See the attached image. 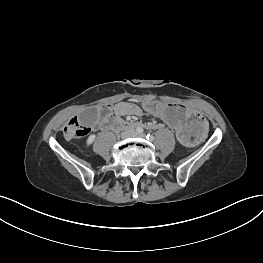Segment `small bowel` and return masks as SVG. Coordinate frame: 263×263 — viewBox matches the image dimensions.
I'll return each mask as SVG.
<instances>
[{
  "label": "small bowel",
  "instance_id": "1",
  "mask_svg": "<svg viewBox=\"0 0 263 263\" xmlns=\"http://www.w3.org/2000/svg\"><path fill=\"white\" fill-rule=\"evenodd\" d=\"M116 116H124V115H140L142 110L131 103L121 102L114 106L113 108ZM162 127L161 124L153 125L152 128L160 129Z\"/></svg>",
  "mask_w": 263,
  "mask_h": 263
}]
</instances>
